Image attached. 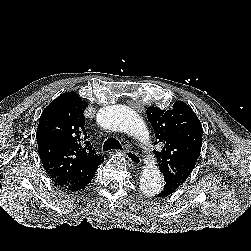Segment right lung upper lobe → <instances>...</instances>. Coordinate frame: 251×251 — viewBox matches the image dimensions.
<instances>
[{
  "label": "right lung upper lobe",
  "instance_id": "cb5924a9",
  "mask_svg": "<svg viewBox=\"0 0 251 251\" xmlns=\"http://www.w3.org/2000/svg\"><path fill=\"white\" fill-rule=\"evenodd\" d=\"M88 103L66 92L41 114L37 129L40 158L55 185L78 189L90 181L104 156L87 140L84 111Z\"/></svg>",
  "mask_w": 251,
  "mask_h": 251
}]
</instances>
